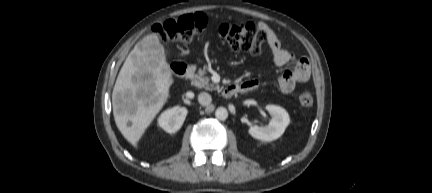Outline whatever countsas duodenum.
Masks as SVG:
<instances>
[{
  "instance_id": "obj_1",
  "label": "duodenum",
  "mask_w": 432,
  "mask_h": 193,
  "mask_svg": "<svg viewBox=\"0 0 432 193\" xmlns=\"http://www.w3.org/2000/svg\"><path fill=\"white\" fill-rule=\"evenodd\" d=\"M171 68L173 73L180 78H188L192 75V69L183 62H174L172 63ZM239 91H241L240 86L229 85L223 89L222 95L225 98H230Z\"/></svg>"
}]
</instances>
